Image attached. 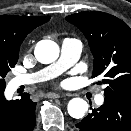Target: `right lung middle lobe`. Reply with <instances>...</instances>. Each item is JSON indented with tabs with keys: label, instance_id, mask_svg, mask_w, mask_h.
I'll use <instances>...</instances> for the list:
<instances>
[{
	"label": "right lung middle lobe",
	"instance_id": "dd1d6c3e",
	"mask_svg": "<svg viewBox=\"0 0 131 131\" xmlns=\"http://www.w3.org/2000/svg\"><path fill=\"white\" fill-rule=\"evenodd\" d=\"M19 52L0 50V90L5 89V76L18 60Z\"/></svg>",
	"mask_w": 131,
	"mask_h": 131
}]
</instances>
